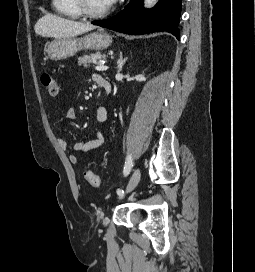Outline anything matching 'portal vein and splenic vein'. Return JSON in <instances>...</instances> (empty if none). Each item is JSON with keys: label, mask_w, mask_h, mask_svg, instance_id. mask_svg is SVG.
<instances>
[{"label": "portal vein and splenic vein", "mask_w": 255, "mask_h": 272, "mask_svg": "<svg viewBox=\"0 0 255 272\" xmlns=\"http://www.w3.org/2000/svg\"><path fill=\"white\" fill-rule=\"evenodd\" d=\"M107 69H108V66L104 65V62L99 63L95 67V70H97V71H106Z\"/></svg>", "instance_id": "1"}]
</instances>
